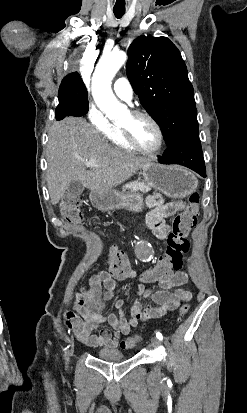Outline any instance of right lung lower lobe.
Returning a JSON list of instances; mask_svg holds the SVG:
<instances>
[{
    "instance_id": "1",
    "label": "right lung lower lobe",
    "mask_w": 247,
    "mask_h": 413,
    "mask_svg": "<svg viewBox=\"0 0 247 413\" xmlns=\"http://www.w3.org/2000/svg\"><path fill=\"white\" fill-rule=\"evenodd\" d=\"M80 112L77 108L73 107L67 102H59V105L55 111L56 120H62L66 116H80Z\"/></svg>"
}]
</instances>
